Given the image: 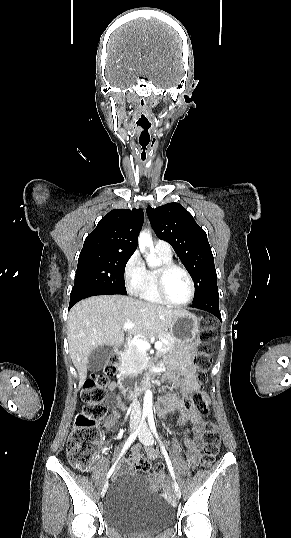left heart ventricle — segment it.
I'll return each mask as SVG.
<instances>
[{"label": "left heart ventricle", "mask_w": 291, "mask_h": 538, "mask_svg": "<svg viewBox=\"0 0 291 538\" xmlns=\"http://www.w3.org/2000/svg\"><path fill=\"white\" fill-rule=\"evenodd\" d=\"M167 296L174 302H183L189 295V282L179 270L170 272L165 279Z\"/></svg>", "instance_id": "obj_1"}]
</instances>
